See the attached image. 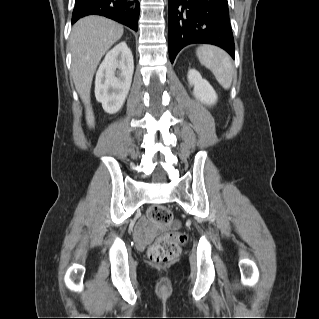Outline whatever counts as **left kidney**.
I'll return each instance as SVG.
<instances>
[{
    "label": "left kidney",
    "instance_id": "obj_1",
    "mask_svg": "<svg viewBox=\"0 0 319 319\" xmlns=\"http://www.w3.org/2000/svg\"><path fill=\"white\" fill-rule=\"evenodd\" d=\"M188 81L194 87L193 95L201 103L213 105L217 101V94L210 83L203 79L200 73L195 69L188 71Z\"/></svg>",
    "mask_w": 319,
    "mask_h": 319
}]
</instances>
